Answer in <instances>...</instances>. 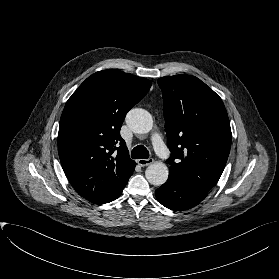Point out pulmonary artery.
<instances>
[{
    "mask_svg": "<svg viewBox=\"0 0 279 279\" xmlns=\"http://www.w3.org/2000/svg\"><path fill=\"white\" fill-rule=\"evenodd\" d=\"M152 146L156 153L164 160H168L171 157L169 149L166 147L159 135H155L151 139Z\"/></svg>",
    "mask_w": 279,
    "mask_h": 279,
    "instance_id": "obj_1",
    "label": "pulmonary artery"
}]
</instances>
